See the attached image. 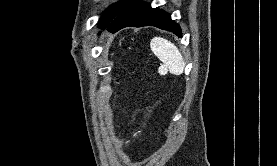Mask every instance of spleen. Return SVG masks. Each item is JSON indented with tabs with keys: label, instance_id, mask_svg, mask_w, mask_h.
<instances>
[{
	"label": "spleen",
	"instance_id": "3e777b00",
	"mask_svg": "<svg viewBox=\"0 0 277 166\" xmlns=\"http://www.w3.org/2000/svg\"><path fill=\"white\" fill-rule=\"evenodd\" d=\"M152 52L164 63V67L174 75H180L184 71L185 62L178 48L161 37L151 40Z\"/></svg>",
	"mask_w": 277,
	"mask_h": 166
}]
</instances>
